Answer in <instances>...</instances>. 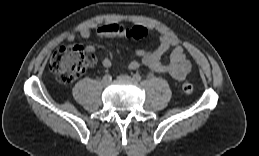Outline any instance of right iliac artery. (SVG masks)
<instances>
[{
	"mask_svg": "<svg viewBox=\"0 0 259 156\" xmlns=\"http://www.w3.org/2000/svg\"><path fill=\"white\" fill-rule=\"evenodd\" d=\"M103 79H105V80H111V76H110L109 74H106V75L103 77Z\"/></svg>",
	"mask_w": 259,
	"mask_h": 156,
	"instance_id": "right-iliac-artery-1",
	"label": "right iliac artery"
}]
</instances>
